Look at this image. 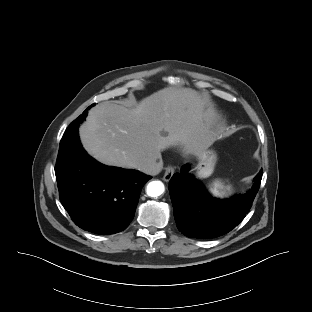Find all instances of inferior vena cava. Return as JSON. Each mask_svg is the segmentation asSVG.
Returning a JSON list of instances; mask_svg holds the SVG:
<instances>
[{
	"label": "inferior vena cava",
	"mask_w": 312,
	"mask_h": 312,
	"mask_svg": "<svg viewBox=\"0 0 312 312\" xmlns=\"http://www.w3.org/2000/svg\"><path fill=\"white\" fill-rule=\"evenodd\" d=\"M159 159V161H157ZM163 167V162L161 155L156 158L145 159L141 161L137 169L145 174L156 175L158 174Z\"/></svg>",
	"instance_id": "inferior-vena-cava-1"
}]
</instances>
